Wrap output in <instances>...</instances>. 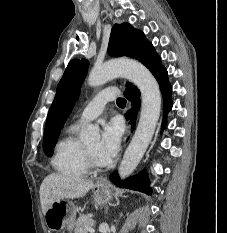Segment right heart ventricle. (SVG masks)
<instances>
[{
    "instance_id": "e07e8e85",
    "label": "right heart ventricle",
    "mask_w": 227,
    "mask_h": 233,
    "mask_svg": "<svg viewBox=\"0 0 227 233\" xmlns=\"http://www.w3.org/2000/svg\"><path fill=\"white\" fill-rule=\"evenodd\" d=\"M77 127L71 126L57 142L51 163L61 175L70 178H81L88 173L84 147L77 140Z\"/></svg>"
}]
</instances>
